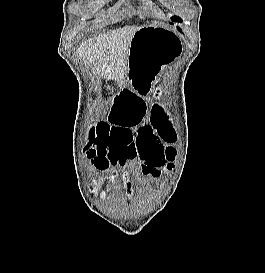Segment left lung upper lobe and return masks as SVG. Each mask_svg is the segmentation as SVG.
<instances>
[{"label": "left lung upper lobe", "mask_w": 265, "mask_h": 273, "mask_svg": "<svg viewBox=\"0 0 265 273\" xmlns=\"http://www.w3.org/2000/svg\"><path fill=\"white\" fill-rule=\"evenodd\" d=\"M172 21H177V22H180V21H181V18H180V17H178V16H173V17H172ZM171 24H173V23H171ZM177 29H178V30H180V28H179V27H177Z\"/></svg>", "instance_id": "1"}]
</instances>
